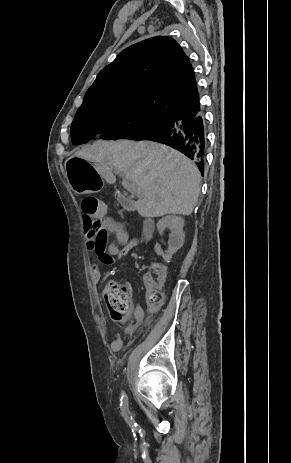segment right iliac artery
I'll use <instances>...</instances> for the list:
<instances>
[{
  "mask_svg": "<svg viewBox=\"0 0 291 463\" xmlns=\"http://www.w3.org/2000/svg\"><path fill=\"white\" fill-rule=\"evenodd\" d=\"M120 407H121L122 415L125 417L127 423L130 426H133L134 421H133L132 417L129 416L128 399H127L126 395H123L121 397Z\"/></svg>",
  "mask_w": 291,
  "mask_h": 463,
  "instance_id": "right-iliac-artery-1",
  "label": "right iliac artery"
}]
</instances>
